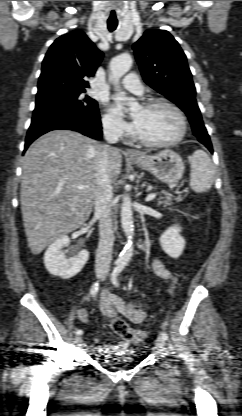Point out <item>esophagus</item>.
I'll return each mask as SVG.
<instances>
[{"label": "esophagus", "mask_w": 242, "mask_h": 416, "mask_svg": "<svg viewBox=\"0 0 242 416\" xmlns=\"http://www.w3.org/2000/svg\"><path fill=\"white\" fill-rule=\"evenodd\" d=\"M124 153L127 157H130V158H142V154L139 153L138 151L134 150V149H129L128 148V149L125 150Z\"/></svg>", "instance_id": "34e87169"}]
</instances>
